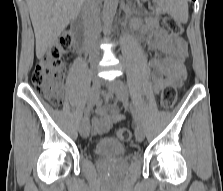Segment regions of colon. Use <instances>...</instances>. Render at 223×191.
I'll list each match as a JSON object with an SVG mask.
<instances>
[{"instance_id": "5ec220e1", "label": "colon", "mask_w": 223, "mask_h": 191, "mask_svg": "<svg viewBox=\"0 0 223 191\" xmlns=\"http://www.w3.org/2000/svg\"><path fill=\"white\" fill-rule=\"evenodd\" d=\"M164 23L172 34L176 36L183 34L182 25L175 19L168 17ZM72 43L73 38L70 34L60 36L47 55L36 64L31 76V82L36 92L54 106L62 104V79L65 73V65L61 56L71 48ZM176 99V87L172 84L165 85L161 92L162 108L170 110L175 105ZM117 137L123 142H128L132 133L127 128H120L117 131Z\"/></svg>"}]
</instances>
